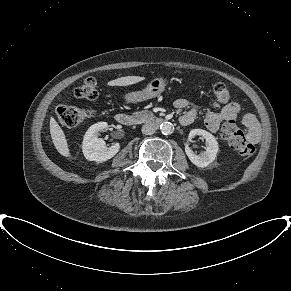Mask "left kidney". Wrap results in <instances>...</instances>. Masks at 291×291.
Wrapping results in <instances>:
<instances>
[{
    "instance_id": "5707ae66",
    "label": "left kidney",
    "mask_w": 291,
    "mask_h": 291,
    "mask_svg": "<svg viewBox=\"0 0 291 291\" xmlns=\"http://www.w3.org/2000/svg\"><path fill=\"white\" fill-rule=\"evenodd\" d=\"M202 136L206 140V148L205 152H203L201 155H196L187 144L185 146V152L188 156L189 160L196 165L199 168L207 167L210 163H212L217 155L218 152V142L216 141L215 137L203 130V129H193L189 133L188 141H191V139L196 136Z\"/></svg>"
}]
</instances>
